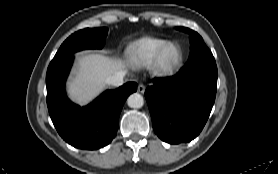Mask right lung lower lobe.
I'll return each mask as SVG.
<instances>
[{"mask_svg": "<svg viewBox=\"0 0 278 174\" xmlns=\"http://www.w3.org/2000/svg\"><path fill=\"white\" fill-rule=\"evenodd\" d=\"M73 54L51 62L46 75L47 106L60 136L80 149H99L109 144L118 129V119L127 97L137 90L128 82L116 90H108L86 107L73 104L65 94V80Z\"/></svg>", "mask_w": 278, "mask_h": 174, "instance_id": "right-lung-lower-lobe-1", "label": "right lung lower lobe"}]
</instances>
